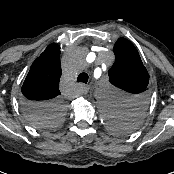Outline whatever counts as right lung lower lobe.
Segmentation results:
<instances>
[{"label": "right lung lower lobe", "mask_w": 174, "mask_h": 174, "mask_svg": "<svg viewBox=\"0 0 174 174\" xmlns=\"http://www.w3.org/2000/svg\"><path fill=\"white\" fill-rule=\"evenodd\" d=\"M48 104H42V103H28V102H24L23 104V107L24 109H27V108H38V107H44Z\"/></svg>", "instance_id": "1"}]
</instances>
